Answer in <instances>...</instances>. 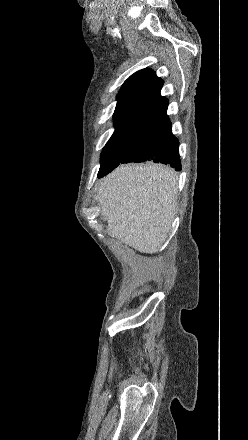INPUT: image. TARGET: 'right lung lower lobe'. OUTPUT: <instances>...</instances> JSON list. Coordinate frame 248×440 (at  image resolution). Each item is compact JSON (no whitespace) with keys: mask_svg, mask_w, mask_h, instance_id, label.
<instances>
[{"mask_svg":"<svg viewBox=\"0 0 248 440\" xmlns=\"http://www.w3.org/2000/svg\"><path fill=\"white\" fill-rule=\"evenodd\" d=\"M166 112L167 109L144 122L131 133L121 163L151 161L169 164L176 171L181 170L179 142L172 134Z\"/></svg>","mask_w":248,"mask_h":440,"instance_id":"right-lung-lower-lobe-1","label":"right lung lower lobe"}]
</instances>
